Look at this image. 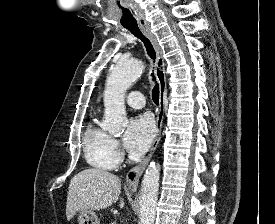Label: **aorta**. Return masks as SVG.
Returning <instances> with one entry per match:
<instances>
[{"instance_id":"1","label":"aorta","mask_w":275,"mask_h":224,"mask_svg":"<svg viewBox=\"0 0 275 224\" xmlns=\"http://www.w3.org/2000/svg\"><path fill=\"white\" fill-rule=\"evenodd\" d=\"M143 67L140 60H120L107 78L102 128L111 134H120L127 126L125 93L141 75ZM159 179L160 166L152 162L147 168L141 184L139 224H154Z\"/></svg>"}]
</instances>
